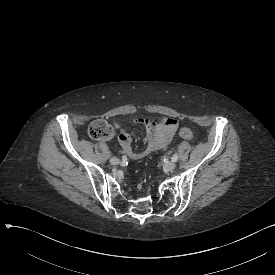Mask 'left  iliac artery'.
I'll list each match as a JSON object with an SVG mask.
<instances>
[{
	"instance_id": "1",
	"label": "left iliac artery",
	"mask_w": 275,
	"mask_h": 275,
	"mask_svg": "<svg viewBox=\"0 0 275 275\" xmlns=\"http://www.w3.org/2000/svg\"><path fill=\"white\" fill-rule=\"evenodd\" d=\"M172 161L176 162L178 160V154L175 153L173 156H172Z\"/></svg>"
}]
</instances>
